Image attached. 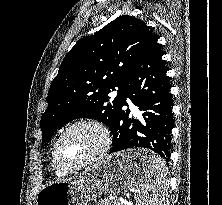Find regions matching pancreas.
I'll return each mask as SVG.
<instances>
[{"instance_id":"obj_1","label":"pancreas","mask_w":222,"mask_h":205,"mask_svg":"<svg viewBox=\"0 0 222 205\" xmlns=\"http://www.w3.org/2000/svg\"><path fill=\"white\" fill-rule=\"evenodd\" d=\"M97 205H121L120 201L110 196L109 198L101 199Z\"/></svg>"}]
</instances>
